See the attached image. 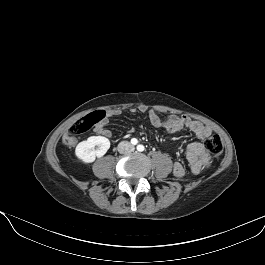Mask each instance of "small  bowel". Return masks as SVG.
Wrapping results in <instances>:
<instances>
[{
    "instance_id": "1",
    "label": "small bowel",
    "mask_w": 265,
    "mask_h": 265,
    "mask_svg": "<svg viewBox=\"0 0 265 265\" xmlns=\"http://www.w3.org/2000/svg\"><path fill=\"white\" fill-rule=\"evenodd\" d=\"M141 112L146 111V107L141 106L138 109ZM136 108L130 110L131 113L138 111ZM121 113L118 109L108 110L105 117L95 126V133L105 138H111L112 133L106 128L109 119L118 116ZM149 118L151 123L156 127H163L168 132H177L182 129H188L193 132L199 140H203L211 135V129L199 121L193 120L185 115H174L162 120L158 115L150 110ZM186 158L189 169L193 174H199L202 170L209 166V157L201 142H192L186 148ZM173 174L176 177H182L185 174V168L182 163L176 161L173 165Z\"/></svg>"
}]
</instances>
